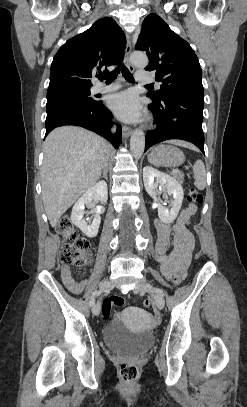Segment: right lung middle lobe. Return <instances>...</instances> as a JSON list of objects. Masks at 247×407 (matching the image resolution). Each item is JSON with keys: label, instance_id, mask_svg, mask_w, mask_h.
<instances>
[{"label": "right lung middle lobe", "instance_id": "obj_1", "mask_svg": "<svg viewBox=\"0 0 247 407\" xmlns=\"http://www.w3.org/2000/svg\"><path fill=\"white\" fill-rule=\"evenodd\" d=\"M91 87L65 86L47 91L46 108L67 105V104H84L90 105L97 101L90 96Z\"/></svg>", "mask_w": 247, "mask_h": 407}]
</instances>
